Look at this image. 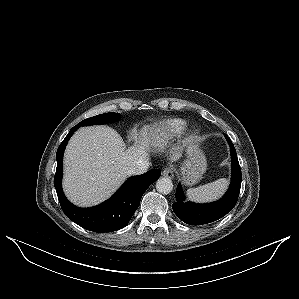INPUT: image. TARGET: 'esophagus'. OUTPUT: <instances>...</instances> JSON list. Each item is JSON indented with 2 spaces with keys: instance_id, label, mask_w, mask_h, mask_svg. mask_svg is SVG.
<instances>
[{
  "instance_id": "esophagus-1",
  "label": "esophagus",
  "mask_w": 299,
  "mask_h": 299,
  "mask_svg": "<svg viewBox=\"0 0 299 299\" xmlns=\"http://www.w3.org/2000/svg\"><path fill=\"white\" fill-rule=\"evenodd\" d=\"M163 176L168 177V178H174V171L170 167H166L163 170Z\"/></svg>"
}]
</instances>
